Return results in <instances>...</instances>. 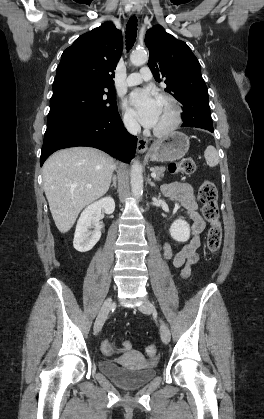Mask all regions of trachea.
I'll use <instances>...</instances> for the list:
<instances>
[{"label": "trachea", "mask_w": 264, "mask_h": 419, "mask_svg": "<svg viewBox=\"0 0 264 419\" xmlns=\"http://www.w3.org/2000/svg\"><path fill=\"white\" fill-rule=\"evenodd\" d=\"M137 36V18L132 16L126 26V49L130 50L136 41Z\"/></svg>", "instance_id": "obj_1"}]
</instances>
